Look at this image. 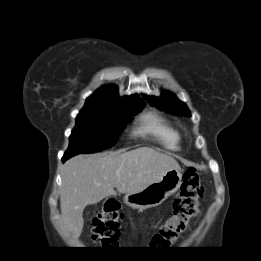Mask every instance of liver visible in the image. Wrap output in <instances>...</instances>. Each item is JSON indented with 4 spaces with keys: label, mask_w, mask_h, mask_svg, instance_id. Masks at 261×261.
Returning <instances> with one entry per match:
<instances>
[{
    "label": "liver",
    "mask_w": 261,
    "mask_h": 261,
    "mask_svg": "<svg viewBox=\"0 0 261 261\" xmlns=\"http://www.w3.org/2000/svg\"><path fill=\"white\" fill-rule=\"evenodd\" d=\"M180 169L171 156L150 147L127 152L78 155L67 161L61 174V221L78 238L87 205L120 193H135L159 181L167 171Z\"/></svg>",
    "instance_id": "1"
}]
</instances>
